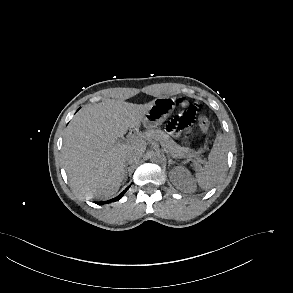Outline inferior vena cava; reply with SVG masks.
<instances>
[{
    "instance_id": "inferior-vena-cava-1",
    "label": "inferior vena cava",
    "mask_w": 293,
    "mask_h": 293,
    "mask_svg": "<svg viewBox=\"0 0 293 293\" xmlns=\"http://www.w3.org/2000/svg\"><path fill=\"white\" fill-rule=\"evenodd\" d=\"M141 157H142V153L140 151L132 149L126 153L125 161L128 164H133V163L139 161V159Z\"/></svg>"
}]
</instances>
